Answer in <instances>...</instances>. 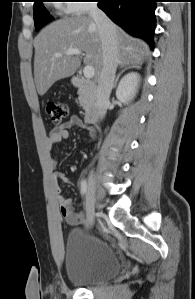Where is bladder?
<instances>
[{
    "label": "bladder",
    "mask_w": 195,
    "mask_h": 299,
    "mask_svg": "<svg viewBox=\"0 0 195 299\" xmlns=\"http://www.w3.org/2000/svg\"><path fill=\"white\" fill-rule=\"evenodd\" d=\"M68 280L87 287L111 280L121 271V261L104 240L82 229L70 230L65 241Z\"/></svg>",
    "instance_id": "obj_1"
}]
</instances>
